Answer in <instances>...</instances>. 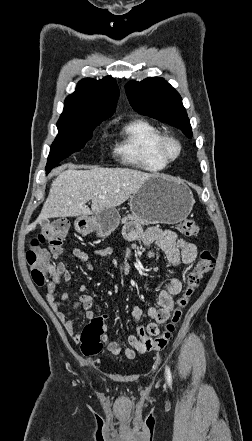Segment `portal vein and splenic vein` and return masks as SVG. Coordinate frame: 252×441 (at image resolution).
<instances>
[{"mask_svg": "<svg viewBox=\"0 0 252 441\" xmlns=\"http://www.w3.org/2000/svg\"><path fill=\"white\" fill-rule=\"evenodd\" d=\"M99 198H104V196H99Z\"/></svg>", "mask_w": 252, "mask_h": 441, "instance_id": "portal-vein-and-splenic-vein-1", "label": "portal vein and splenic vein"}]
</instances>
